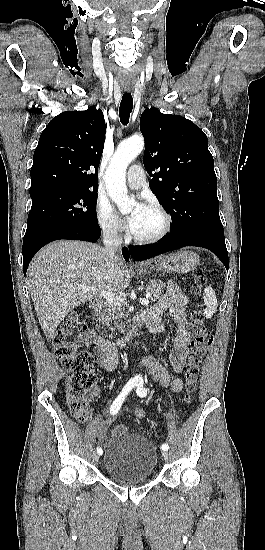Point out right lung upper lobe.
<instances>
[{"label":"right lung upper lobe","mask_w":265,"mask_h":550,"mask_svg":"<svg viewBox=\"0 0 265 550\" xmlns=\"http://www.w3.org/2000/svg\"><path fill=\"white\" fill-rule=\"evenodd\" d=\"M106 134L100 109L65 111L42 132L33 155L31 189L98 191V167Z\"/></svg>","instance_id":"cb5924a9"}]
</instances>
